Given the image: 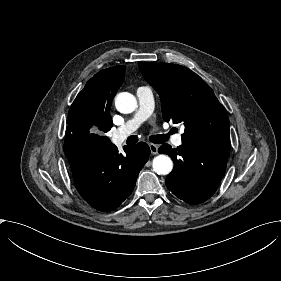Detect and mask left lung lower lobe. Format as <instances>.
<instances>
[{"label": "left lung lower lobe", "instance_id": "left-lung-lower-lobe-1", "mask_svg": "<svg viewBox=\"0 0 281 281\" xmlns=\"http://www.w3.org/2000/svg\"><path fill=\"white\" fill-rule=\"evenodd\" d=\"M230 144H182L177 149L163 144L174 169L166 178L168 189L188 204H200L218 188L227 166Z\"/></svg>", "mask_w": 281, "mask_h": 281}]
</instances>
